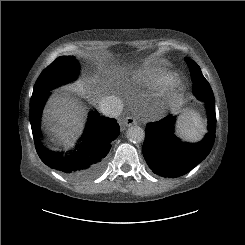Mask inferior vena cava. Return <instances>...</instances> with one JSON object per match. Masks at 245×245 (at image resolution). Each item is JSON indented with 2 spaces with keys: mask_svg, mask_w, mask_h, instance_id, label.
Listing matches in <instances>:
<instances>
[{
  "mask_svg": "<svg viewBox=\"0 0 245 245\" xmlns=\"http://www.w3.org/2000/svg\"><path fill=\"white\" fill-rule=\"evenodd\" d=\"M123 101L114 95L105 96L99 102L100 111L108 117H118L123 110Z\"/></svg>",
  "mask_w": 245,
  "mask_h": 245,
  "instance_id": "602c4592",
  "label": "inferior vena cava"
}]
</instances>
